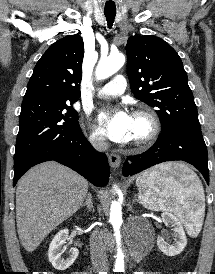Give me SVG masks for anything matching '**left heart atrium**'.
<instances>
[{
  "instance_id": "left-heart-atrium-1",
  "label": "left heart atrium",
  "mask_w": 215,
  "mask_h": 274,
  "mask_svg": "<svg viewBox=\"0 0 215 274\" xmlns=\"http://www.w3.org/2000/svg\"><path fill=\"white\" fill-rule=\"evenodd\" d=\"M98 120L103 126L106 135L112 141L126 142L130 140L133 117L125 109L101 111L98 115Z\"/></svg>"
}]
</instances>
